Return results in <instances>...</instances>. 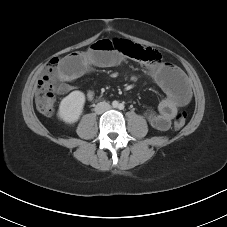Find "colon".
I'll list each match as a JSON object with an SVG mask.
<instances>
[{
    "label": "colon",
    "instance_id": "obj_1",
    "mask_svg": "<svg viewBox=\"0 0 227 227\" xmlns=\"http://www.w3.org/2000/svg\"><path fill=\"white\" fill-rule=\"evenodd\" d=\"M109 41L114 44L115 49L143 64L154 66L161 60L160 53L152 48L142 47L141 45L123 39ZM60 63L61 60L59 58H52L47 66L49 74L42 76L37 82L36 106L39 112L45 116H51L55 110V91L50 74L59 67ZM186 120L187 113L184 111L178 112L174 117V127L176 129L182 128Z\"/></svg>",
    "mask_w": 227,
    "mask_h": 227
}]
</instances>
